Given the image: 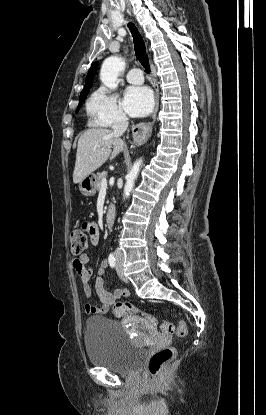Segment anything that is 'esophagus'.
I'll use <instances>...</instances> for the list:
<instances>
[{
	"mask_svg": "<svg viewBox=\"0 0 266 415\" xmlns=\"http://www.w3.org/2000/svg\"><path fill=\"white\" fill-rule=\"evenodd\" d=\"M155 108L152 114V121L149 123H141L136 125L133 128L132 134H133V140L137 144H143L147 141V139L150 137L152 132L153 123L156 118V114L159 107V88L157 84H155Z\"/></svg>",
	"mask_w": 266,
	"mask_h": 415,
	"instance_id": "esophagus-1",
	"label": "esophagus"
}]
</instances>
